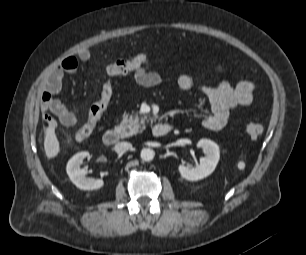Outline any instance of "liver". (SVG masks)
Segmentation results:
<instances>
[{
    "instance_id": "liver-1",
    "label": "liver",
    "mask_w": 306,
    "mask_h": 255,
    "mask_svg": "<svg viewBox=\"0 0 306 255\" xmlns=\"http://www.w3.org/2000/svg\"><path fill=\"white\" fill-rule=\"evenodd\" d=\"M44 150L46 156L51 159L60 152V144L55 133V123L49 124L45 131Z\"/></svg>"
}]
</instances>
